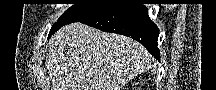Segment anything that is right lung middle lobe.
<instances>
[{
	"mask_svg": "<svg viewBox=\"0 0 216 90\" xmlns=\"http://www.w3.org/2000/svg\"><path fill=\"white\" fill-rule=\"evenodd\" d=\"M116 4H75L67 9L52 26L49 36L59 28L72 22L84 20L107 11Z\"/></svg>",
	"mask_w": 216,
	"mask_h": 90,
	"instance_id": "right-lung-middle-lobe-1",
	"label": "right lung middle lobe"
}]
</instances>
